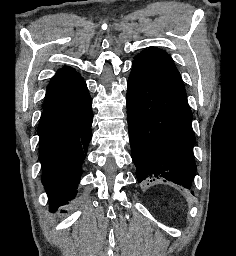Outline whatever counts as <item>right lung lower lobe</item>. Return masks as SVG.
<instances>
[{
  "instance_id": "1",
  "label": "right lung lower lobe",
  "mask_w": 236,
  "mask_h": 256,
  "mask_svg": "<svg viewBox=\"0 0 236 256\" xmlns=\"http://www.w3.org/2000/svg\"><path fill=\"white\" fill-rule=\"evenodd\" d=\"M92 118V100L84 81L44 106L37 133L51 212L77 194Z\"/></svg>"
}]
</instances>
